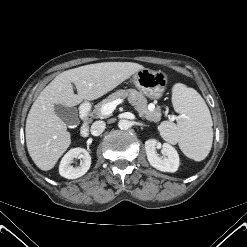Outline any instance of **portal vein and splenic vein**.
Listing matches in <instances>:
<instances>
[{
    "label": "portal vein and splenic vein",
    "mask_w": 247,
    "mask_h": 247,
    "mask_svg": "<svg viewBox=\"0 0 247 247\" xmlns=\"http://www.w3.org/2000/svg\"><path fill=\"white\" fill-rule=\"evenodd\" d=\"M123 102L122 99H116L113 102L107 103L102 106L101 114L104 116L110 115L116 107ZM173 120L176 119L174 116L171 117Z\"/></svg>",
    "instance_id": "18ae733b"
}]
</instances>
